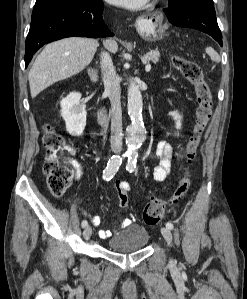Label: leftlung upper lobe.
<instances>
[{
	"mask_svg": "<svg viewBox=\"0 0 247 299\" xmlns=\"http://www.w3.org/2000/svg\"><path fill=\"white\" fill-rule=\"evenodd\" d=\"M168 1H169V8H174L178 3H180L181 1H184V0H168ZM199 1H202L209 5H213L212 0H199Z\"/></svg>",
	"mask_w": 247,
	"mask_h": 299,
	"instance_id": "5c2ea615",
	"label": "left lung upper lobe"
}]
</instances>
